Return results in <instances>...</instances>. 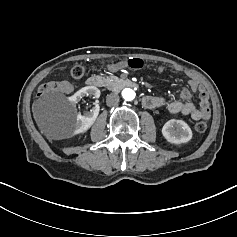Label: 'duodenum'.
I'll list each match as a JSON object with an SVG mask.
<instances>
[{
  "mask_svg": "<svg viewBox=\"0 0 237 237\" xmlns=\"http://www.w3.org/2000/svg\"><path fill=\"white\" fill-rule=\"evenodd\" d=\"M105 83H106L105 79L98 75L91 76L87 80V85L93 88L102 87L105 85ZM119 83L125 87H130V88L137 87V84L130 79H122Z\"/></svg>",
  "mask_w": 237,
  "mask_h": 237,
  "instance_id": "obj_1",
  "label": "duodenum"
}]
</instances>
